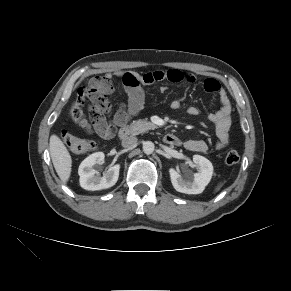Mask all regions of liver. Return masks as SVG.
I'll use <instances>...</instances> for the list:
<instances>
[{"label": "liver", "mask_w": 291, "mask_h": 291, "mask_svg": "<svg viewBox=\"0 0 291 291\" xmlns=\"http://www.w3.org/2000/svg\"><path fill=\"white\" fill-rule=\"evenodd\" d=\"M49 146L54 168L62 182L66 183L69 180L72 167L70 153L61 139L55 134L51 135Z\"/></svg>", "instance_id": "obj_1"}]
</instances>
